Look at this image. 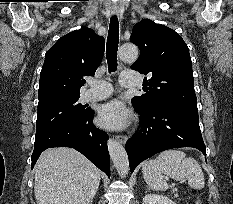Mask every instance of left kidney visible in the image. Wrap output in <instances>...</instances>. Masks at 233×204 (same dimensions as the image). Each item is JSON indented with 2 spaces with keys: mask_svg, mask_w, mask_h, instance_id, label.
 Segmentation results:
<instances>
[{
  "mask_svg": "<svg viewBox=\"0 0 233 204\" xmlns=\"http://www.w3.org/2000/svg\"><path fill=\"white\" fill-rule=\"evenodd\" d=\"M143 204H176V203L163 195L147 194L143 198Z\"/></svg>",
  "mask_w": 233,
  "mask_h": 204,
  "instance_id": "left-kidney-1",
  "label": "left kidney"
}]
</instances>
